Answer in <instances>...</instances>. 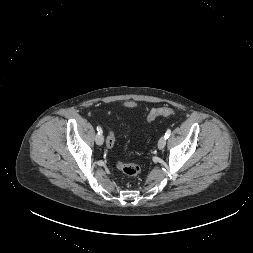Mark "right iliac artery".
I'll list each match as a JSON object with an SVG mask.
<instances>
[{
    "label": "right iliac artery",
    "mask_w": 253,
    "mask_h": 253,
    "mask_svg": "<svg viewBox=\"0 0 253 253\" xmlns=\"http://www.w3.org/2000/svg\"><path fill=\"white\" fill-rule=\"evenodd\" d=\"M97 131H98V134H102V129L100 126H97Z\"/></svg>",
    "instance_id": "obj_1"
}]
</instances>
